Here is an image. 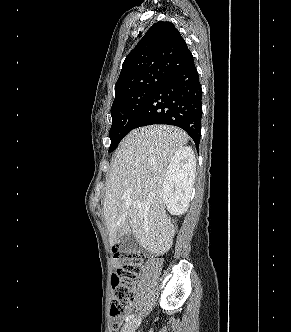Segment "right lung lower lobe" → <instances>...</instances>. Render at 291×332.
Instances as JSON below:
<instances>
[{
  "instance_id": "1",
  "label": "right lung lower lobe",
  "mask_w": 291,
  "mask_h": 332,
  "mask_svg": "<svg viewBox=\"0 0 291 332\" xmlns=\"http://www.w3.org/2000/svg\"><path fill=\"white\" fill-rule=\"evenodd\" d=\"M202 89L194 61L170 73L134 118L131 129L167 124L184 129L199 145Z\"/></svg>"
}]
</instances>
